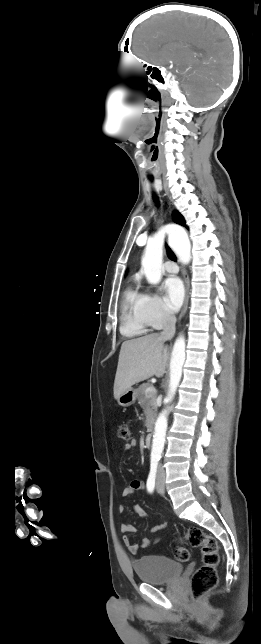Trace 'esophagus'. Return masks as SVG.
I'll return each instance as SVG.
<instances>
[{
	"label": "esophagus",
	"instance_id": "esophagus-1",
	"mask_svg": "<svg viewBox=\"0 0 261 644\" xmlns=\"http://www.w3.org/2000/svg\"><path fill=\"white\" fill-rule=\"evenodd\" d=\"M184 283H185V299H184V304L183 308L181 310L180 317H183L187 311L188 308V303H189V294H190V280L189 276L187 275L186 271H184Z\"/></svg>",
	"mask_w": 261,
	"mask_h": 644
}]
</instances>
